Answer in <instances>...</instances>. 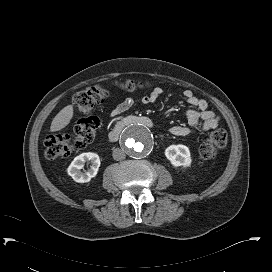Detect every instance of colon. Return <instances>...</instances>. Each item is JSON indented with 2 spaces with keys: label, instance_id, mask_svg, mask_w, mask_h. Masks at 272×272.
<instances>
[{
  "label": "colon",
  "instance_id": "1",
  "mask_svg": "<svg viewBox=\"0 0 272 272\" xmlns=\"http://www.w3.org/2000/svg\"><path fill=\"white\" fill-rule=\"evenodd\" d=\"M116 85L126 93H134L147 87V85L132 80L121 81ZM107 94L105 86L95 85L74 96V105L81 117L75 122L72 133L54 134L47 137L45 144L48 157H67L75 150L83 149L93 141L99 126L94 111L104 101ZM227 141V133L224 130L219 129L212 132L200 146V162L204 163L211 160L217 152L226 147Z\"/></svg>",
  "mask_w": 272,
  "mask_h": 272
}]
</instances>
